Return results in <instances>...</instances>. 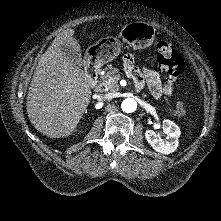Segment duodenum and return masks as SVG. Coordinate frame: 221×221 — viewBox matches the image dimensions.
Returning a JSON list of instances; mask_svg holds the SVG:
<instances>
[{"mask_svg":"<svg viewBox=\"0 0 221 221\" xmlns=\"http://www.w3.org/2000/svg\"><path fill=\"white\" fill-rule=\"evenodd\" d=\"M98 72H99V68L97 63L95 62V60L93 58H89L86 61V65H85V73H86V77L89 80V82L91 84H95L97 81V77H98Z\"/></svg>","mask_w":221,"mask_h":221,"instance_id":"1","label":"duodenum"}]
</instances>
